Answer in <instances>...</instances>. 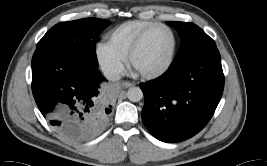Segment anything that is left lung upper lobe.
<instances>
[{
	"label": "left lung upper lobe",
	"instance_id": "left-lung-upper-lobe-1",
	"mask_svg": "<svg viewBox=\"0 0 267 166\" xmlns=\"http://www.w3.org/2000/svg\"><path fill=\"white\" fill-rule=\"evenodd\" d=\"M175 28L181 38V45L172 63L182 62L193 55L209 48H216V44L201 28L188 22H166Z\"/></svg>",
	"mask_w": 267,
	"mask_h": 166
}]
</instances>
